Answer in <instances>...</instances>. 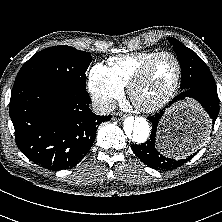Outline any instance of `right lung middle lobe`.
I'll return each instance as SVG.
<instances>
[{
	"instance_id": "right-lung-middle-lobe-1",
	"label": "right lung middle lobe",
	"mask_w": 222,
	"mask_h": 222,
	"mask_svg": "<svg viewBox=\"0 0 222 222\" xmlns=\"http://www.w3.org/2000/svg\"><path fill=\"white\" fill-rule=\"evenodd\" d=\"M92 61L89 52L61 45L46 48L32 56L20 69L16 80L44 77L86 90V75Z\"/></svg>"
}]
</instances>
